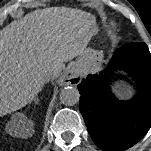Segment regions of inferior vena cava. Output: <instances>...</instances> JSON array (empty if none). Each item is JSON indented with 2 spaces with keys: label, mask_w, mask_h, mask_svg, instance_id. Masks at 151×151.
<instances>
[{
  "label": "inferior vena cava",
  "mask_w": 151,
  "mask_h": 151,
  "mask_svg": "<svg viewBox=\"0 0 151 151\" xmlns=\"http://www.w3.org/2000/svg\"><path fill=\"white\" fill-rule=\"evenodd\" d=\"M60 73V69L56 68L54 71H53V75H57Z\"/></svg>",
  "instance_id": "602c4592"
}]
</instances>
